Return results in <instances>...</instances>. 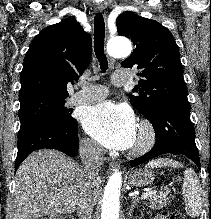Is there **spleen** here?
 Instances as JSON below:
<instances>
[{"label": "spleen", "instance_id": "3e777b00", "mask_svg": "<svg viewBox=\"0 0 211 219\" xmlns=\"http://www.w3.org/2000/svg\"><path fill=\"white\" fill-rule=\"evenodd\" d=\"M183 167V164L172 159H157L152 160L146 164L148 168H159V167ZM182 190L185 197V210L188 216L196 218L200 215L203 203V191L201 188L200 181L191 168H187L184 171V180L182 184Z\"/></svg>", "mask_w": 211, "mask_h": 219}]
</instances>
